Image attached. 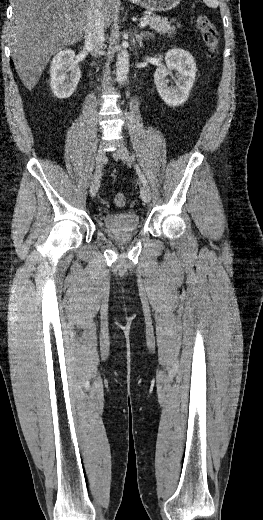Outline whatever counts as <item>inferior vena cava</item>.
I'll use <instances>...</instances> for the list:
<instances>
[{
  "label": "inferior vena cava",
  "instance_id": "1",
  "mask_svg": "<svg viewBox=\"0 0 263 520\" xmlns=\"http://www.w3.org/2000/svg\"><path fill=\"white\" fill-rule=\"evenodd\" d=\"M102 0H90L85 28V48L96 56L104 44V19L101 11Z\"/></svg>",
  "mask_w": 263,
  "mask_h": 520
}]
</instances>
